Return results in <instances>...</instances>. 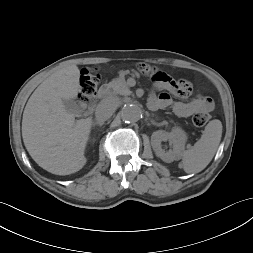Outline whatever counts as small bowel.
<instances>
[{
	"mask_svg": "<svg viewBox=\"0 0 253 253\" xmlns=\"http://www.w3.org/2000/svg\"><path fill=\"white\" fill-rule=\"evenodd\" d=\"M191 84L185 80H174L167 74L154 79L153 92L148 100V107L152 110L170 107L179 117H190L198 112H209L213 109V101L202 94L195 95L190 101L174 100L170 94L185 98L191 94Z\"/></svg>",
	"mask_w": 253,
	"mask_h": 253,
	"instance_id": "c3829d8e",
	"label": "small bowel"
}]
</instances>
